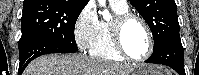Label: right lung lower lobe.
<instances>
[{"label": "right lung lower lobe", "mask_w": 199, "mask_h": 75, "mask_svg": "<svg viewBox=\"0 0 199 75\" xmlns=\"http://www.w3.org/2000/svg\"><path fill=\"white\" fill-rule=\"evenodd\" d=\"M78 49H73L46 39L34 38L24 45L19 46L20 64L18 75H21L26 66L35 58L50 53H73Z\"/></svg>", "instance_id": "right-lung-lower-lobe-1"}]
</instances>
